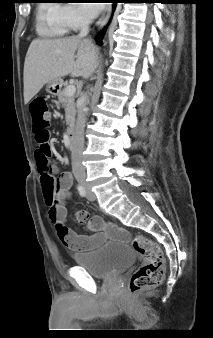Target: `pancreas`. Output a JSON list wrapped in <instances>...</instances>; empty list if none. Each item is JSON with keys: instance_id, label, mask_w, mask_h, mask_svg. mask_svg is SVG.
Masks as SVG:
<instances>
[{"instance_id": "cf45deb5", "label": "pancreas", "mask_w": 213, "mask_h": 338, "mask_svg": "<svg viewBox=\"0 0 213 338\" xmlns=\"http://www.w3.org/2000/svg\"><path fill=\"white\" fill-rule=\"evenodd\" d=\"M57 96L58 102L62 104L65 110L66 124L69 126L68 130H70L75 123V115H76L75 97L66 96L65 89L59 91Z\"/></svg>"}]
</instances>
